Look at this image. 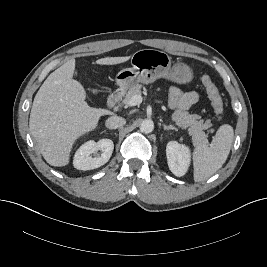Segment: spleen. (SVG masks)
I'll list each match as a JSON object with an SVG mask.
<instances>
[{"instance_id": "obj_1", "label": "spleen", "mask_w": 267, "mask_h": 267, "mask_svg": "<svg viewBox=\"0 0 267 267\" xmlns=\"http://www.w3.org/2000/svg\"><path fill=\"white\" fill-rule=\"evenodd\" d=\"M234 130L223 124L210 144L199 143L193 152L194 181L201 182L216 173L225 163L233 143Z\"/></svg>"}]
</instances>
